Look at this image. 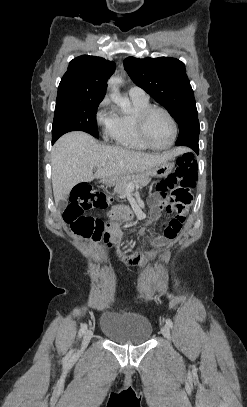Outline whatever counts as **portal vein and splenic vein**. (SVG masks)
I'll return each instance as SVG.
<instances>
[{"label": "portal vein and splenic vein", "mask_w": 247, "mask_h": 407, "mask_svg": "<svg viewBox=\"0 0 247 407\" xmlns=\"http://www.w3.org/2000/svg\"><path fill=\"white\" fill-rule=\"evenodd\" d=\"M128 187H130V188H131V187H133V185H132V184H129V185H128Z\"/></svg>", "instance_id": "1"}]
</instances>
